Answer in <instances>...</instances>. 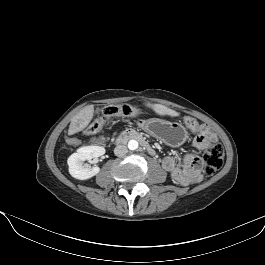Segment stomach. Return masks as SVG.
Segmentation results:
<instances>
[{
    "instance_id": "stomach-1",
    "label": "stomach",
    "mask_w": 265,
    "mask_h": 265,
    "mask_svg": "<svg viewBox=\"0 0 265 265\" xmlns=\"http://www.w3.org/2000/svg\"><path fill=\"white\" fill-rule=\"evenodd\" d=\"M142 126L148 134L172 147H178L188 139L187 130L177 122L151 118Z\"/></svg>"
}]
</instances>
